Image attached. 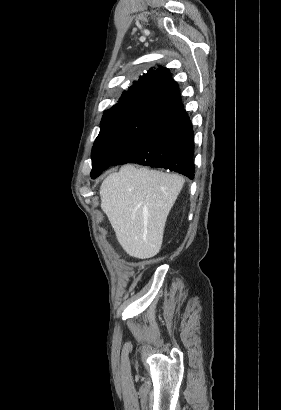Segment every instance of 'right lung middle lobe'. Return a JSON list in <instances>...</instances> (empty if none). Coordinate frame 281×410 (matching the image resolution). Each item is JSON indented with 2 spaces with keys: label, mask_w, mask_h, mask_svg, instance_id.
<instances>
[{
  "label": "right lung middle lobe",
  "mask_w": 281,
  "mask_h": 410,
  "mask_svg": "<svg viewBox=\"0 0 281 410\" xmlns=\"http://www.w3.org/2000/svg\"><path fill=\"white\" fill-rule=\"evenodd\" d=\"M167 111L145 104H124L104 111L100 133L92 148L91 178L112 165Z\"/></svg>",
  "instance_id": "right-lung-middle-lobe-1"
}]
</instances>
